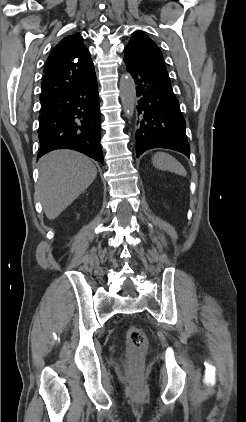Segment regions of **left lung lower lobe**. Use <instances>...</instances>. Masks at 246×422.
Returning <instances> with one entry per match:
<instances>
[{
    "label": "left lung lower lobe",
    "mask_w": 246,
    "mask_h": 422,
    "mask_svg": "<svg viewBox=\"0 0 246 422\" xmlns=\"http://www.w3.org/2000/svg\"><path fill=\"white\" fill-rule=\"evenodd\" d=\"M124 62L134 78L138 100L136 155L152 148H167L190 155L186 123L171 83L125 53Z\"/></svg>",
    "instance_id": "0a47b994"
}]
</instances>
